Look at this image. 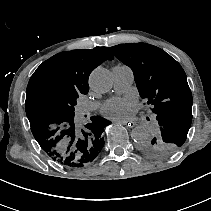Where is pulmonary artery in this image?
Instances as JSON below:
<instances>
[{
  "label": "pulmonary artery",
  "instance_id": "obj_1",
  "mask_svg": "<svg viewBox=\"0 0 211 211\" xmlns=\"http://www.w3.org/2000/svg\"><path fill=\"white\" fill-rule=\"evenodd\" d=\"M112 72L115 78V90L118 92H124L134 82V72L131 67L127 65H116L112 68ZM97 106V103H85L80 104L78 109L80 112H89Z\"/></svg>",
  "mask_w": 211,
  "mask_h": 211
}]
</instances>
